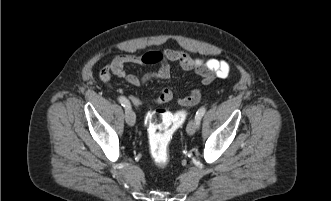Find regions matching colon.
Instances as JSON below:
<instances>
[{
	"label": "colon",
	"mask_w": 331,
	"mask_h": 201,
	"mask_svg": "<svg viewBox=\"0 0 331 201\" xmlns=\"http://www.w3.org/2000/svg\"><path fill=\"white\" fill-rule=\"evenodd\" d=\"M201 88L197 86L192 93L181 100L185 106H192L199 102ZM187 113L181 110L172 114L164 109H156L146 117V125L149 135L150 153L154 162L165 166L169 161V145L175 130L184 122Z\"/></svg>",
	"instance_id": "colon-1"
}]
</instances>
